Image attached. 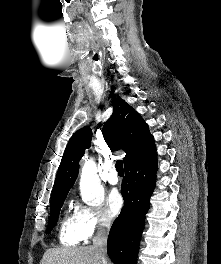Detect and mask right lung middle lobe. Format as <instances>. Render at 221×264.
<instances>
[{
    "instance_id": "dd1d6c3e",
    "label": "right lung middle lobe",
    "mask_w": 221,
    "mask_h": 264,
    "mask_svg": "<svg viewBox=\"0 0 221 264\" xmlns=\"http://www.w3.org/2000/svg\"><path fill=\"white\" fill-rule=\"evenodd\" d=\"M66 196H67V193L59 195V196H57L51 200L50 218H49V223H48L47 232H46L47 234H49L51 232V230L53 229V227L55 226L59 212H60V209L64 203Z\"/></svg>"
}]
</instances>
